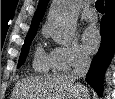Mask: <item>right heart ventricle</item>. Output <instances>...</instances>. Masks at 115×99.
<instances>
[{
    "mask_svg": "<svg viewBox=\"0 0 115 99\" xmlns=\"http://www.w3.org/2000/svg\"><path fill=\"white\" fill-rule=\"evenodd\" d=\"M33 67L37 72L40 73H47L53 69L49 55H47L41 47H38L35 51Z\"/></svg>",
    "mask_w": 115,
    "mask_h": 99,
    "instance_id": "obj_1",
    "label": "right heart ventricle"
}]
</instances>
